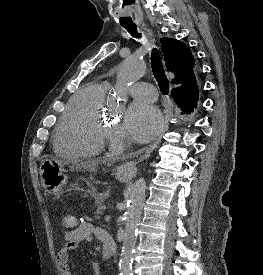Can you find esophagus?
<instances>
[{
  "instance_id": "1",
  "label": "esophagus",
  "mask_w": 263,
  "mask_h": 275,
  "mask_svg": "<svg viewBox=\"0 0 263 275\" xmlns=\"http://www.w3.org/2000/svg\"><path fill=\"white\" fill-rule=\"evenodd\" d=\"M167 128H168V118L166 116L164 118V126H163V129H162L160 135L157 137V139L151 145H149L147 148L144 149V154L139 158V160H133V161H129V162H125V163L121 164L118 167V171L126 177H133L137 172V164L150 156L152 151L160 143L162 135L167 130Z\"/></svg>"
}]
</instances>
